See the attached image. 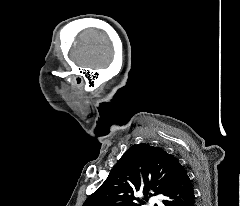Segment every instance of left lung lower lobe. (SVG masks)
I'll return each mask as SVG.
<instances>
[{"mask_svg": "<svg viewBox=\"0 0 240 206\" xmlns=\"http://www.w3.org/2000/svg\"><path fill=\"white\" fill-rule=\"evenodd\" d=\"M164 196L163 204L165 206H195L192 181L179 162L174 179Z\"/></svg>", "mask_w": 240, "mask_h": 206, "instance_id": "1", "label": "left lung lower lobe"}]
</instances>
